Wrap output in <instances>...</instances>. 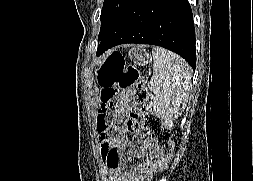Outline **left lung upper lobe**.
Instances as JSON below:
<instances>
[{"label": "left lung upper lobe", "instance_id": "5c2ea615", "mask_svg": "<svg viewBox=\"0 0 253 181\" xmlns=\"http://www.w3.org/2000/svg\"><path fill=\"white\" fill-rule=\"evenodd\" d=\"M130 2L131 0H104L98 40H101L110 31Z\"/></svg>", "mask_w": 253, "mask_h": 181}]
</instances>
